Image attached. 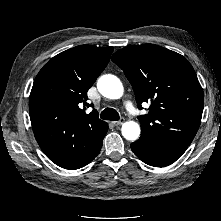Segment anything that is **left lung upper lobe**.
Returning <instances> with one entry per match:
<instances>
[{
  "mask_svg": "<svg viewBox=\"0 0 221 221\" xmlns=\"http://www.w3.org/2000/svg\"><path fill=\"white\" fill-rule=\"evenodd\" d=\"M112 61L130 81L138 107L150 102L138 117L141 137L188 147L201 123L202 87L190 63L180 54L154 44L130 46L115 52Z\"/></svg>",
  "mask_w": 221,
  "mask_h": 221,
  "instance_id": "5c2ea615",
  "label": "left lung upper lobe"
}]
</instances>
